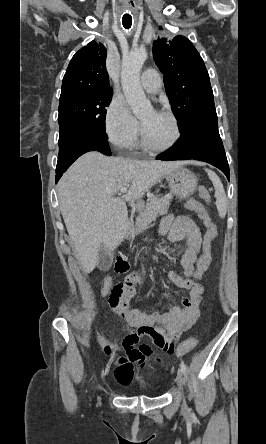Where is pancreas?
I'll return each instance as SVG.
<instances>
[{"mask_svg":"<svg viewBox=\"0 0 266 444\" xmlns=\"http://www.w3.org/2000/svg\"><path fill=\"white\" fill-rule=\"evenodd\" d=\"M172 201V194H167L162 197H154L148 200L146 205L139 207L140 216L136 218L133 227L134 233H140L146 228L148 221L152 220L158 215H163L168 212L170 202ZM152 211V212H151ZM151 212V213H150Z\"/></svg>","mask_w":266,"mask_h":444,"instance_id":"cf45deb5","label":"pancreas"}]
</instances>
